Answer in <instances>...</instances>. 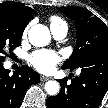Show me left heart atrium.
I'll use <instances>...</instances> for the list:
<instances>
[{
    "label": "left heart atrium",
    "mask_w": 108,
    "mask_h": 108,
    "mask_svg": "<svg viewBox=\"0 0 108 108\" xmlns=\"http://www.w3.org/2000/svg\"><path fill=\"white\" fill-rule=\"evenodd\" d=\"M29 62L38 71L49 73L59 62V56L50 50H37L29 56Z\"/></svg>",
    "instance_id": "1"
}]
</instances>
